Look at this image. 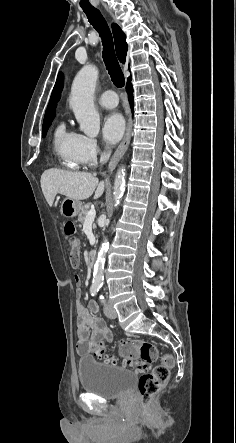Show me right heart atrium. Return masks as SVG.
Returning <instances> with one entry per match:
<instances>
[{
  "instance_id": "obj_1",
  "label": "right heart atrium",
  "mask_w": 236,
  "mask_h": 443,
  "mask_svg": "<svg viewBox=\"0 0 236 443\" xmlns=\"http://www.w3.org/2000/svg\"><path fill=\"white\" fill-rule=\"evenodd\" d=\"M99 153L100 147L96 139L85 135H79L78 154L84 165H94Z\"/></svg>"
}]
</instances>
